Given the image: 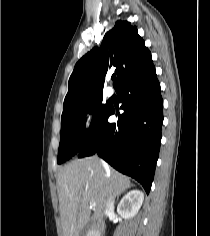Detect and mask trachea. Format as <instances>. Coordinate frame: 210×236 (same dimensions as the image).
<instances>
[{"instance_id": "1", "label": "trachea", "mask_w": 210, "mask_h": 236, "mask_svg": "<svg viewBox=\"0 0 210 236\" xmlns=\"http://www.w3.org/2000/svg\"><path fill=\"white\" fill-rule=\"evenodd\" d=\"M115 79V75H112V80H114Z\"/></svg>"}]
</instances>
